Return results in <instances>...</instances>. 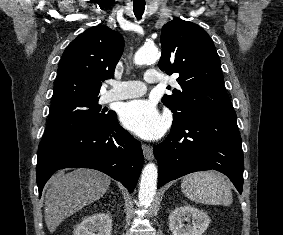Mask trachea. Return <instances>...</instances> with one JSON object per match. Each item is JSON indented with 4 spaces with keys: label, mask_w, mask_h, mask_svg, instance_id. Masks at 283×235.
I'll return each mask as SVG.
<instances>
[{
    "label": "trachea",
    "mask_w": 283,
    "mask_h": 235,
    "mask_svg": "<svg viewBox=\"0 0 283 235\" xmlns=\"http://www.w3.org/2000/svg\"><path fill=\"white\" fill-rule=\"evenodd\" d=\"M145 9V3L143 2H134L133 3V11L136 18L139 20L141 19Z\"/></svg>",
    "instance_id": "obj_1"
}]
</instances>
